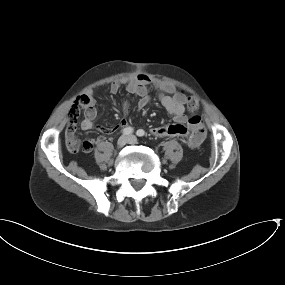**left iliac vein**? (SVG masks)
I'll use <instances>...</instances> for the list:
<instances>
[{
  "instance_id": "1",
  "label": "left iliac vein",
  "mask_w": 285,
  "mask_h": 285,
  "mask_svg": "<svg viewBox=\"0 0 285 285\" xmlns=\"http://www.w3.org/2000/svg\"><path fill=\"white\" fill-rule=\"evenodd\" d=\"M137 142V139L135 136L131 135V136H128V143L129 144H136Z\"/></svg>"
}]
</instances>
